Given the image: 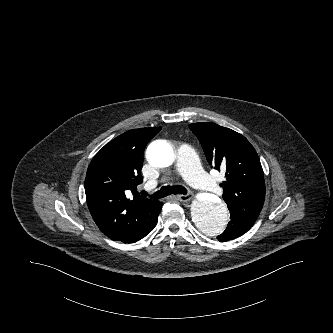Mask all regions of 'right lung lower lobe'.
<instances>
[{"label": "right lung lower lobe", "instance_id": "obj_1", "mask_svg": "<svg viewBox=\"0 0 333 333\" xmlns=\"http://www.w3.org/2000/svg\"><path fill=\"white\" fill-rule=\"evenodd\" d=\"M161 208L162 202L156 203L151 209L142 214L133 224L130 231L119 240L124 243H134L145 237L156 226Z\"/></svg>", "mask_w": 333, "mask_h": 333}]
</instances>
